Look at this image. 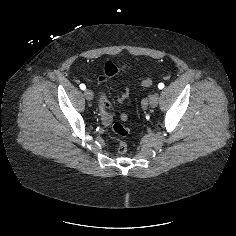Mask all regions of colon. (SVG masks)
<instances>
[{"mask_svg":"<svg viewBox=\"0 0 236 236\" xmlns=\"http://www.w3.org/2000/svg\"><path fill=\"white\" fill-rule=\"evenodd\" d=\"M141 84L144 87H149L152 85V80L150 78H146L141 82ZM142 104L143 106H146V101H143ZM112 130L116 135L120 137L118 141V152L120 154H125L127 152L128 146L127 143L123 140V138L129 135V127L117 122L113 124Z\"/></svg>","mask_w":236,"mask_h":236,"instance_id":"1","label":"colon"}]
</instances>
